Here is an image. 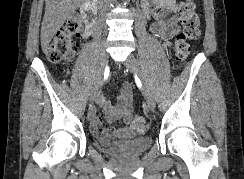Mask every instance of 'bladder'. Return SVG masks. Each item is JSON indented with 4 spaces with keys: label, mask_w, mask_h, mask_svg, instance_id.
<instances>
[{
    "label": "bladder",
    "mask_w": 244,
    "mask_h": 179,
    "mask_svg": "<svg viewBox=\"0 0 244 179\" xmlns=\"http://www.w3.org/2000/svg\"><path fill=\"white\" fill-rule=\"evenodd\" d=\"M150 147V137H138L120 145L116 149L110 150L109 153L115 158L125 159L136 155H142L149 150Z\"/></svg>",
    "instance_id": "obj_1"
}]
</instances>
